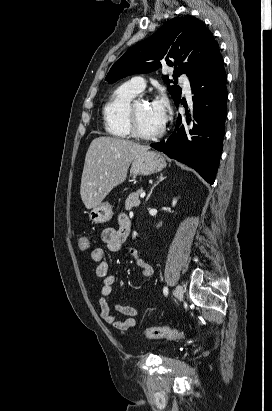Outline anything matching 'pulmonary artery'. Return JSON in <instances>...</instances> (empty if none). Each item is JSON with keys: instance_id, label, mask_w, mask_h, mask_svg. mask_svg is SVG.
Masks as SVG:
<instances>
[{"instance_id": "1", "label": "pulmonary artery", "mask_w": 272, "mask_h": 411, "mask_svg": "<svg viewBox=\"0 0 272 411\" xmlns=\"http://www.w3.org/2000/svg\"><path fill=\"white\" fill-rule=\"evenodd\" d=\"M180 79L184 82V91L186 92L187 95H189L190 94V86H189V83L187 82L186 74L183 73L180 76ZM129 83L138 92H141L146 86L145 80L142 77H139V76L133 77L130 80Z\"/></svg>"}]
</instances>
